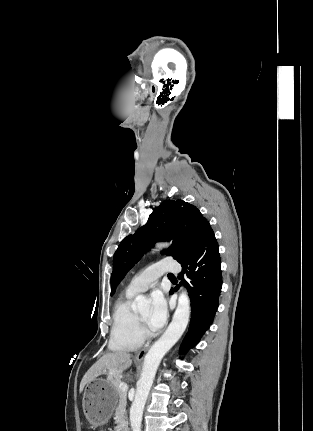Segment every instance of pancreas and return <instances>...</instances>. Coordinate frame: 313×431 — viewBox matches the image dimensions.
I'll return each instance as SVG.
<instances>
[{
  "label": "pancreas",
  "mask_w": 313,
  "mask_h": 431,
  "mask_svg": "<svg viewBox=\"0 0 313 431\" xmlns=\"http://www.w3.org/2000/svg\"><path fill=\"white\" fill-rule=\"evenodd\" d=\"M110 380L113 382L118 398V405L115 409V423L117 424V427H119L126 419L127 392H123L119 388V384L122 382L120 375L113 376Z\"/></svg>",
  "instance_id": "pancreas-1"
}]
</instances>
